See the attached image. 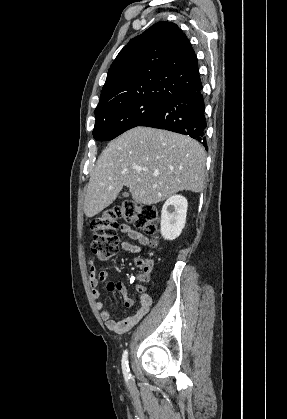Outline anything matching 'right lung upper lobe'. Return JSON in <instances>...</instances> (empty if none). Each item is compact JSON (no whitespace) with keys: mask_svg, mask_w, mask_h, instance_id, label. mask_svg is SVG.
Segmentation results:
<instances>
[{"mask_svg":"<svg viewBox=\"0 0 287 419\" xmlns=\"http://www.w3.org/2000/svg\"><path fill=\"white\" fill-rule=\"evenodd\" d=\"M201 85L198 59L178 26L158 22L112 63L95 114L137 100H162Z\"/></svg>","mask_w":287,"mask_h":419,"instance_id":"obj_1","label":"right lung upper lobe"}]
</instances>
